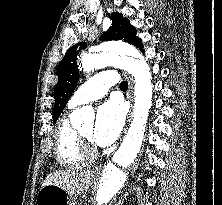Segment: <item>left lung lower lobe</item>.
<instances>
[{
    "mask_svg": "<svg viewBox=\"0 0 222 205\" xmlns=\"http://www.w3.org/2000/svg\"><path fill=\"white\" fill-rule=\"evenodd\" d=\"M139 49L143 52V53H145V51H144V49H143V45L141 44L140 46H139Z\"/></svg>",
    "mask_w": 222,
    "mask_h": 205,
    "instance_id": "0a47b994",
    "label": "left lung lower lobe"
}]
</instances>
